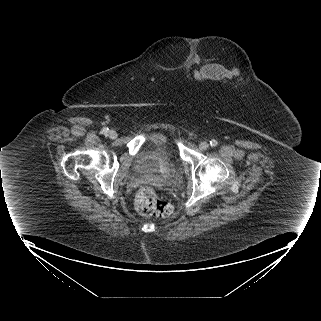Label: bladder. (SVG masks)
I'll use <instances>...</instances> for the list:
<instances>
[{"label":"bladder","mask_w":321,"mask_h":321,"mask_svg":"<svg viewBox=\"0 0 321 321\" xmlns=\"http://www.w3.org/2000/svg\"><path fill=\"white\" fill-rule=\"evenodd\" d=\"M175 168L174 150L166 141L148 145L136 162L137 172L153 179H166L173 174Z\"/></svg>","instance_id":"31cf9c89"}]
</instances>
